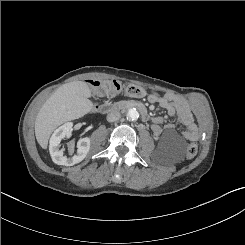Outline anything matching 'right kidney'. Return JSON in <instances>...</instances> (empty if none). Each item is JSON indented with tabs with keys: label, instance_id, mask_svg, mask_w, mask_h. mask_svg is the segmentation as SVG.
<instances>
[{
	"label": "right kidney",
	"instance_id": "ca27d5eb",
	"mask_svg": "<svg viewBox=\"0 0 245 245\" xmlns=\"http://www.w3.org/2000/svg\"><path fill=\"white\" fill-rule=\"evenodd\" d=\"M72 126L71 122L65 123L56 129L51 136L49 151L51 158L55 164L63 165V166H72L77 163H80L87 155L90 150V138L85 137L79 140L77 143V152L72 157H67L63 155V150L60 149V142L65 137H70L72 134ZM69 154L72 155L74 153V145H70L68 147Z\"/></svg>",
	"mask_w": 245,
	"mask_h": 245
}]
</instances>
